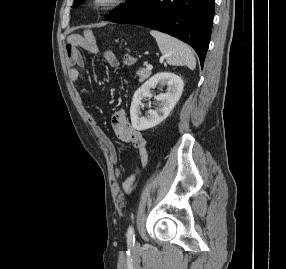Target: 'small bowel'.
Instances as JSON below:
<instances>
[{
    "instance_id": "c3829d8e",
    "label": "small bowel",
    "mask_w": 286,
    "mask_h": 269,
    "mask_svg": "<svg viewBox=\"0 0 286 269\" xmlns=\"http://www.w3.org/2000/svg\"><path fill=\"white\" fill-rule=\"evenodd\" d=\"M77 45H82L91 53H96L98 51L95 42L91 40L89 43L85 40L81 43L77 42L75 38H71L68 45L66 46V57L69 64V77L71 81L76 82L80 77V68L85 66V60L83 56L79 53L77 49ZM103 62L111 67L119 66V60L116 55L111 51H104L102 54ZM125 61V59H124ZM87 121L90 127L93 129L94 133L101 139V141L105 144L108 149L109 159L113 164L118 162V155L109 141V139L104 135L103 131L100 129L95 118L88 113ZM112 128L115 131L116 135L125 143L130 144L135 150H137L138 158L135 162L132 173L126 178V180L122 184V188L126 192H132L137 184V174L139 169L145 168L148 163V152L146 148V139L143 134L132 128L127 119L126 111L123 109H119L114 112L111 120ZM122 170L120 167H116L114 170L115 179L118 180Z\"/></svg>"
}]
</instances>
